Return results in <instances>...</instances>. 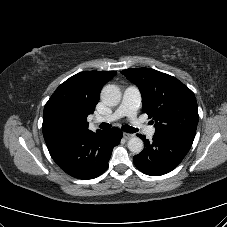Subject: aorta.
Masks as SVG:
<instances>
[{
  "instance_id": "obj_1",
  "label": "aorta",
  "mask_w": 227,
  "mask_h": 227,
  "mask_svg": "<svg viewBox=\"0 0 227 227\" xmlns=\"http://www.w3.org/2000/svg\"><path fill=\"white\" fill-rule=\"evenodd\" d=\"M101 99L108 106H116L121 101V91L115 85H106L101 91ZM144 148V143L139 137H132L128 141V149L135 154L140 153Z\"/></svg>"
}]
</instances>
